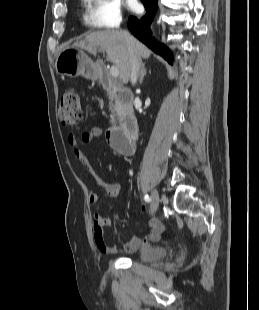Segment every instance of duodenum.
<instances>
[{"label":"duodenum","instance_id":"obj_1","mask_svg":"<svg viewBox=\"0 0 259 310\" xmlns=\"http://www.w3.org/2000/svg\"><path fill=\"white\" fill-rule=\"evenodd\" d=\"M96 76L103 88L118 103V126L107 131L111 145L121 154L130 155L134 152V140L137 136V123L133 112V95L130 91L116 85L106 74L102 66L97 67Z\"/></svg>","mask_w":259,"mask_h":310}]
</instances>
